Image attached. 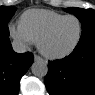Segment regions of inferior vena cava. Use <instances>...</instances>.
<instances>
[{"instance_id":"obj_1","label":"inferior vena cava","mask_w":95,"mask_h":95,"mask_svg":"<svg viewBox=\"0 0 95 95\" xmlns=\"http://www.w3.org/2000/svg\"><path fill=\"white\" fill-rule=\"evenodd\" d=\"M12 48L17 53H24L27 51V47L25 46V44L19 40H14L12 42Z\"/></svg>"}]
</instances>
